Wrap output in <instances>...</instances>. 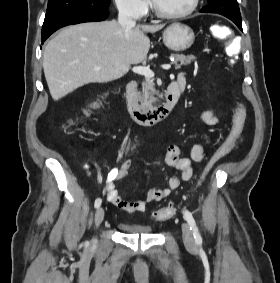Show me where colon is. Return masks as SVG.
Listing matches in <instances>:
<instances>
[{
	"label": "colon",
	"instance_id": "1",
	"mask_svg": "<svg viewBox=\"0 0 280 283\" xmlns=\"http://www.w3.org/2000/svg\"><path fill=\"white\" fill-rule=\"evenodd\" d=\"M210 31L215 38L220 39L222 42H226L228 38L229 42L227 43L228 46L227 55H240L241 47H243V42H240L241 41L240 37H231L232 30L228 26L212 25L210 27ZM86 111L95 112L96 108L87 107ZM244 121H245V108L242 104H238L233 118V122L236 124L237 133L239 132L240 128L244 125ZM68 126L76 127L77 123L69 122ZM227 149H228V145L217 150V152L212 156V158L208 162L204 172L202 173L199 181L197 182V185L200 184V182L210 171V169L226 155ZM175 211L176 209L174 206H167L155 211L153 217L157 221H167L170 218H172V216L175 214Z\"/></svg>",
	"mask_w": 280,
	"mask_h": 283
}]
</instances>
